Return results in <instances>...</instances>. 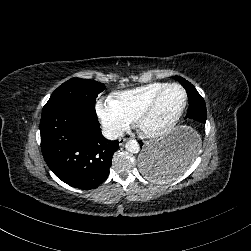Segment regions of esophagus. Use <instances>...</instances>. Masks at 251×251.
I'll return each instance as SVG.
<instances>
[{
    "instance_id": "obj_1",
    "label": "esophagus",
    "mask_w": 251,
    "mask_h": 251,
    "mask_svg": "<svg viewBox=\"0 0 251 251\" xmlns=\"http://www.w3.org/2000/svg\"><path fill=\"white\" fill-rule=\"evenodd\" d=\"M127 140V138H120L119 139V145L122 146L123 143Z\"/></svg>"
}]
</instances>
